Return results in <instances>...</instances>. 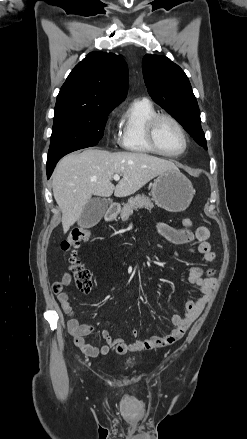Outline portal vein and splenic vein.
Returning a JSON list of instances; mask_svg holds the SVG:
<instances>
[{"label":"portal vein and splenic vein","mask_w":247,"mask_h":439,"mask_svg":"<svg viewBox=\"0 0 247 439\" xmlns=\"http://www.w3.org/2000/svg\"><path fill=\"white\" fill-rule=\"evenodd\" d=\"M113 179H114L115 181H119V180H120V175L115 174V175L113 176Z\"/></svg>","instance_id":"obj_1"}]
</instances>
